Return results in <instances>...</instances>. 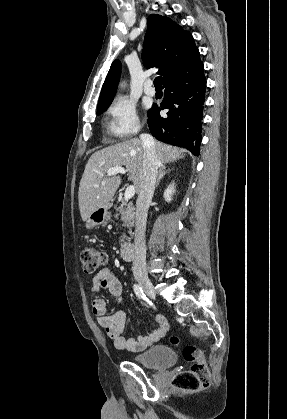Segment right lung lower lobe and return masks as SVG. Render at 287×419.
Returning <instances> with one entry per match:
<instances>
[{
	"mask_svg": "<svg viewBox=\"0 0 287 419\" xmlns=\"http://www.w3.org/2000/svg\"><path fill=\"white\" fill-rule=\"evenodd\" d=\"M164 100L148 111V126L159 141L183 147L199 155L206 79L201 66L191 74L163 84ZM169 109L167 116L159 112Z\"/></svg>",
	"mask_w": 287,
	"mask_h": 419,
	"instance_id": "1",
	"label": "right lung lower lobe"
}]
</instances>
